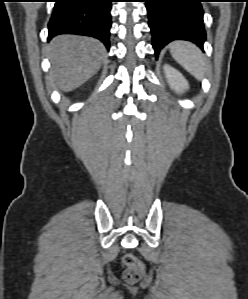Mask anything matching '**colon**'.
Wrapping results in <instances>:
<instances>
[{"label": "colon", "instance_id": "colon-1", "mask_svg": "<svg viewBox=\"0 0 248 299\" xmlns=\"http://www.w3.org/2000/svg\"><path fill=\"white\" fill-rule=\"evenodd\" d=\"M123 264L127 267L125 273V280L128 283H136L142 275L143 265L142 263L133 255L126 254L123 256Z\"/></svg>", "mask_w": 248, "mask_h": 299}]
</instances>
